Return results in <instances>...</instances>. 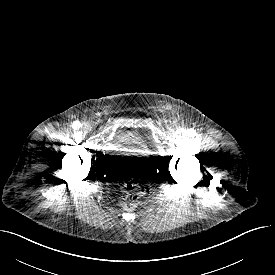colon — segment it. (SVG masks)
Wrapping results in <instances>:
<instances>
[{
	"instance_id": "5ec220e1",
	"label": "colon",
	"mask_w": 275,
	"mask_h": 275,
	"mask_svg": "<svg viewBox=\"0 0 275 275\" xmlns=\"http://www.w3.org/2000/svg\"><path fill=\"white\" fill-rule=\"evenodd\" d=\"M144 194V187L139 180L130 179L123 185V195L121 206L125 210H132L135 208L138 199Z\"/></svg>"
}]
</instances>
